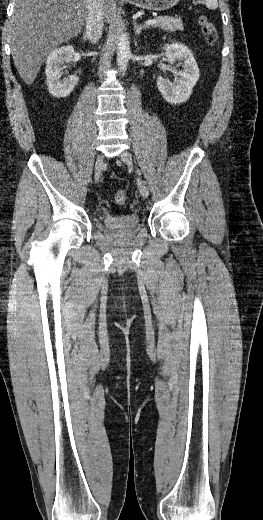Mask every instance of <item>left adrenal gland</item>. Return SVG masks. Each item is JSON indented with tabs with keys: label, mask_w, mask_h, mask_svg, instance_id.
<instances>
[{
	"label": "left adrenal gland",
	"mask_w": 263,
	"mask_h": 520,
	"mask_svg": "<svg viewBox=\"0 0 263 520\" xmlns=\"http://www.w3.org/2000/svg\"><path fill=\"white\" fill-rule=\"evenodd\" d=\"M133 25H134V31H135V34L136 35H140V33L142 32V30H146V29H149V26L148 25H143V24H138L136 22V20L133 21Z\"/></svg>",
	"instance_id": "left-adrenal-gland-1"
}]
</instances>
